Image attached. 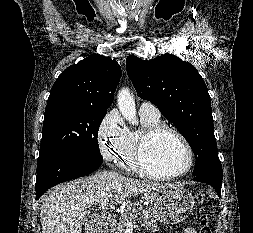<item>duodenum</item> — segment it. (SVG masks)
Returning <instances> with one entry per match:
<instances>
[{
  "label": "duodenum",
  "mask_w": 253,
  "mask_h": 233,
  "mask_svg": "<svg viewBox=\"0 0 253 233\" xmlns=\"http://www.w3.org/2000/svg\"><path fill=\"white\" fill-rule=\"evenodd\" d=\"M103 226L102 225H99V230L98 231H101V230H103ZM98 233V232H97Z\"/></svg>",
  "instance_id": "duodenum-1"
}]
</instances>
